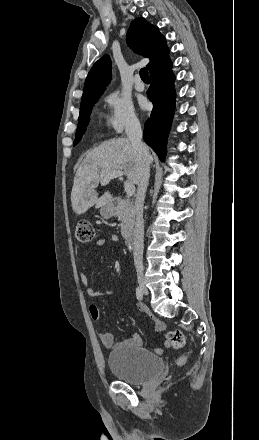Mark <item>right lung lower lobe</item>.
Segmentation results:
<instances>
[{
  "label": "right lung lower lobe",
  "mask_w": 259,
  "mask_h": 440,
  "mask_svg": "<svg viewBox=\"0 0 259 440\" xmlns=\"http://www.w3.org/2000/svg\"><path fill=\"white\" fill-rule=\"evenodd\" d=\"M151 87L147 91L153 110L145 122L143 139L156 152L161 161L166 153V141L175 108V76L170 58H166L150 72Z\"/></svg>",
  "instance_id": "right-lung-lower-lobe-1"
}]
</instances>
